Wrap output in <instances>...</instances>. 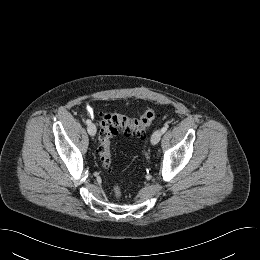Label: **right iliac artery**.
<instances>
[{
    "label": "right iliac artery",
    "mask_w": 260,
    "mask_h": 260,
    "mask_svg": "<svg viewBox=\"0 0 260 260\" xmlns=\"http://www.w3.org/2000/svg\"><path fill=\"white\" fill-rule=\"evenodd\" d=\"M91 121L89 119L86 120V124L89 125Z\"/></svg>",
    "instance_id": "obj_1"
}]
</instances>
